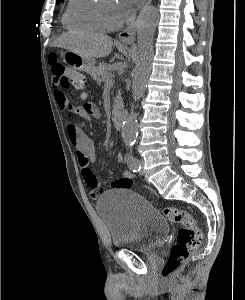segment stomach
I'll return each mask as SVG.
<instances>
[{"label":"stomach","instance_id":"1","mask_svg":"<svg viewBox=\"0 0 245 300\" xmlns=\"http://www.w3.org/2000/svg\"><path fill=\"white\" fill-rule=\"evenodd\" d=\"M63 60L69 67L88 74H91L95 68V60L93 58L83 57L70 50L63 54Z\"/></svg>","mask_w":245,"mask_h":300}]
</instances>
